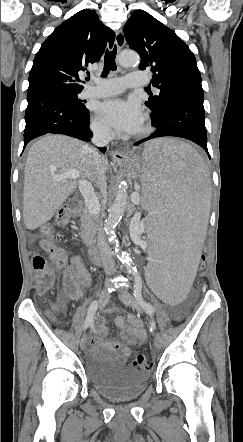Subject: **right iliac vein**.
Masks as SVG:
<instances>
[{
    "label": "right iliac vein",
    "mask_w": 243,
    "mask_h": 442,
    "mask_svg": "<svg viewBox=\"0 0 243 442\" xmlns=\"http://www.w3.org/2000/svg\"><path fill=\"white\" fill-rule=\"evenodd\" d=\"M109 297H110V294H109L108 290L104 289L99 294V297H98V306H99V308L103 307L107 303V301L109 300ZM88 338H89V335H88L87 332H85L82 335V338L80 340V348L83 351L86 349Z\"/></svg>",
    "instance_id": "right-iliac-vein-1"
}]
</instances>
